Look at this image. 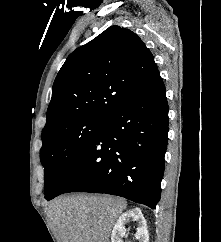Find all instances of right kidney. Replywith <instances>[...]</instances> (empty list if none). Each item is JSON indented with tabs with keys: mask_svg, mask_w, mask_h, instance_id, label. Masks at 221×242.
Segmentation results:
<instances>
[{
	"mask_svg": "<svg viewBox=\"0 0 221 242\" xmlns=\"http://www.w3.org/2000/svg\"><path fill=\"white\" fill-rule=\"evenodd\" d=\"M131 219L137 222V232L134 235L139 242H149V233L147 230L146 220L139 208L130 209L123 213L117 220L112 230L111 242H123L122 237L125 235V224Z\"/></svg>",
	"mask_w": 221,
	"mask_h": 242,
	"instance_id": "obj_1",
	"label": "right kidney"
}]
</instances>
